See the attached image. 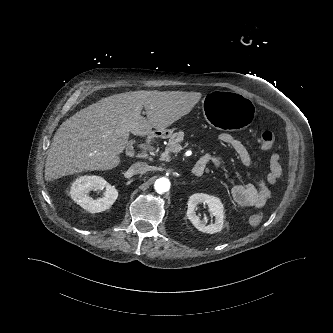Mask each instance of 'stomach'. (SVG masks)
Masks as SVG:
<instances>
[{"mask_svg": "<svg viewBox=\"0 0 333 333\" xmlns=\"http://www.w3.org/2000/svg\"><path fill=\"white\" fill-rule=\"evenodd\" d=\"M204 117L208 124L227 133H240L253 120V105L247 98L231 91H217L203 101ZM170 129L161 131L170 135ZM167 133V134H166Z\"/></svg>", "mask_w": 333, "mask_h": 333, "instance_id": "obj_1", "label": "stomach"}]
</instances>
